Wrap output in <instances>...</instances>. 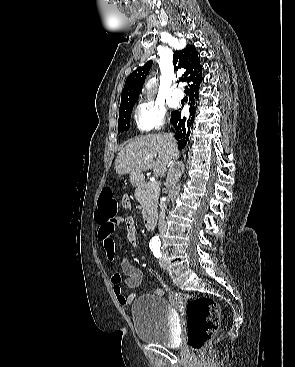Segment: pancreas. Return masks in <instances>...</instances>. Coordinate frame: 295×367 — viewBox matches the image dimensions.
<instances>
[{
  "label": "pancreas",
  "instance_id": "obj_1",
  "mask_svg": "<svg viewBox=\"0 0 295 367\" xmlns=\"http://www.w3.org/2000/svg\"><path fill=\"white\" fill-rule=\"evenodd\" d=\"M158 196V188H154V184L152 182H143L142 185L136 188L135 197L143 207V217H146L147 215L156 211L158 205Z\"/></svg>",
  "mask_w": 295,
  "mask_h": 367
}]
</instances>
